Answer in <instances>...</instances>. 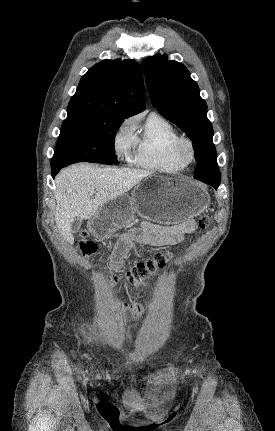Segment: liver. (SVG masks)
Returning a JSON list of instances; mask_svg holds the SVG:
<instances>
[{
	"instance_id": "1",
	"label": "liver",
	"mask_w": 275,
	"mask_h": 431,
	"mask_svg": "<svg viewBox=\"0 0 275 431\" xmlns=\"http://www.w3.org/2000/svg\"><path fill=\"white\" fill-rule=\"evenodd\" d=\"M152 172L124 168H100L79 163L60 171L55 182V222L64 240L73 244L71 223L75 218L84 220L94 216L100 206L125 195ZM96 191L92 199L90 191Z\"/></svg>"
}]
</instances>
